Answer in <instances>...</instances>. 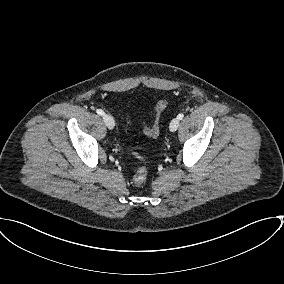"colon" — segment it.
Wrapping results in <instances>:
<instances>
[{
	"mask_svg": "<svg viewBox=\"0 0 284 284\" xmlns=\"http://www.w3.org/2000/svg\"><path fill=\"white\" fill-rule=\"evenodd\" d=\"M168 101L166 98L160 99L156 104V118L151 127H143L144 134L149 138H156L160 133V117L164 110L166 109ZM126 126L128 127V122L126 121ZM134 155L143 160V158L134 151ZM148 176V168L146 165L140 167L133 176V182L136 185H141L145 182Z\"/></svg>",
	"mask_w": 284,
	"mask_h": 284,
	"instance_id": "colon-1",
	"label": "colon"
}]
</instances>
